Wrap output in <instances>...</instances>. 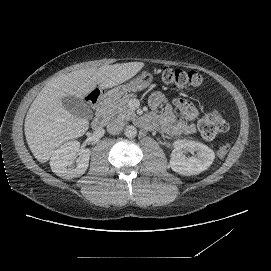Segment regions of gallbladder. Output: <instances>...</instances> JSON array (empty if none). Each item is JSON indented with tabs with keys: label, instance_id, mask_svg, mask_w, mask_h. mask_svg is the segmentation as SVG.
<instances>
[{
	"label": "gallbladder",
	"instance_id": "gallbladder-1",
	"mask_svg": "<svg viewBox=\"0 0 271 271\" xmlns=\"http://www.w3.org/2000/svg\"><path fill=\"white\" fill-rule=\"evenodd\" d=\"M62 103L64 108L74 116L84 118L92 116L90 107L79 98L74 96L64 97Z\"/></svg>",
	"mask_w": 271,
	"mask_h": 271
}]
</instances>
